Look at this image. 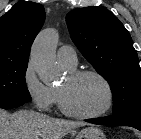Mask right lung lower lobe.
Returning a JSON list of instances; mask_svg holds the SVG:
<instances>
[{"label": "right lung lower lobe", "instance_id": "obj_1", "mask_svg": "<svg viewBox=\"0 0 141 139\" xmlns=\"http://www.w3.org/2000/svg\"><path fill=\"white\" fill-rule=\"evenodd\" d=\"M24 103L25 102H14V103L0 104V108H3V109H11V108H15V107L21 106Z\"/></svg>", "mask_w": 141, "mask_h": 139}]
</instances>
